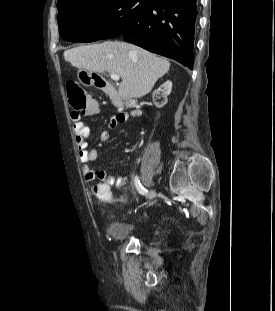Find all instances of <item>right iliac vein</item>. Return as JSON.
I'll use <instances>...</instances> for the list:
<instances>
[{
	"label": "right iliac vein",
	"instance_id": "obj_1",
	"mask_svg": "<svg viewBox=\"0 0 275 311\" xmlns=\"http://www.w3.org/2000/svg\"><path fill=\"white\" fill-rule=\"evenodd\" d=\"M156 195V192L154 189H151L150 192H149V195H148V198L149 199H153Z\"/></svg>",
	"mask_w": 275,
	"mask_h": 311
}]
</instances>
